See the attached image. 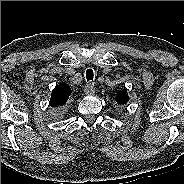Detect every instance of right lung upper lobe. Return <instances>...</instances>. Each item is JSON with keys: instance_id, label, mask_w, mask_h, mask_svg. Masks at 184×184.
Listing matches in <instances>:
<instances>
[{"instance_id": "right-lung-upper-lobe-1", "label": "right lung upper lobe", "mask_w": 184, "mask_h": 184, "mask_svg": "<svg viewBox=\"0 0 184 184\" xmlns=\"http://www.w3.org/2000/svg\"><path fill=\"white\" fill-rule=\"evenodd\" d=\"M71 88L66 83L56 85L51 93L50 106L54 108H61L66 104L71 95Z\"/></svg>"}]
</instances>
